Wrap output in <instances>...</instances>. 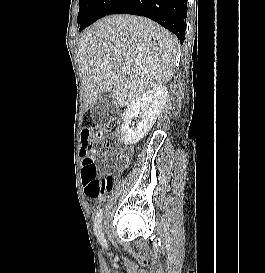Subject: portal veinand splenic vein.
<instances>
[{"label": "portal vein and splenic vein", "mask_w": 265, "mask_h": 273, "mask_svg": "<svg viewBox=\"0 0 265 273\" xmlns=\"http://www.w3.org/2000/svg\"><path fill=\"white\" fill-rule=\"evenodd\" d=\"M121 70H122L123 72H126V71H127V68H126V67H122Z\"/></svg>", "instance_id": "18ae733b"}]
</instances>
